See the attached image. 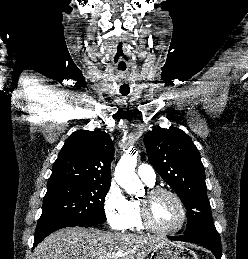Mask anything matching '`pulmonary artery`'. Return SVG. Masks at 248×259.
Listing matches in <instances>:
<instances>
[{"mask_svg": "<svg viewBox=\"0 0 248 259\" xmlns=\"http://www.w3.org/2000/svg\"><path fill=\"white\" fill-rule=\"evenodd\" d=\"M138 176L148 185H154L156 181V173L152 166L141 164L137 170Z\"/></svg>", "mask_w": 248, "mask_h": 259, "instance_id": "e3ab8cb5", "label": "pulmonary artery"}]
</instances>
